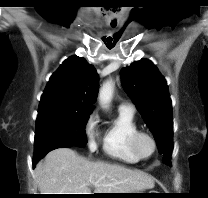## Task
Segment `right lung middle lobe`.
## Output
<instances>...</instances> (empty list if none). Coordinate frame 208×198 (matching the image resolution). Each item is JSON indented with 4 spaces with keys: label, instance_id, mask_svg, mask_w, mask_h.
<instances>
[{
    "label": "right lung middle lobe",
    "instance_id": "dd1d6c3e",
    "mask_svg": "<svg viewBox=\"0 0 208 198\" xmlns=\"http://www.w3.org/2000/svg\"><path fill=\"white\" fill-rule=\"evenodd\" d=\"M91 112L72 108H49L38 111L35 133V156L57 143L84 147L87 143L85 125Z\"/></svg>",
    "mask_w": 208,
    "mask_h": 198
}]
</instances>
